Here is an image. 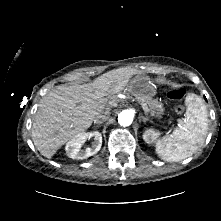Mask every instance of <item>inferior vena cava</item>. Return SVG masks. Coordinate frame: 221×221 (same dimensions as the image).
Here are the masks:
<instances>
[{"label":"inferior vena cava","mask_w":221,"mask_h":221,"mask_svg":"<svg viewBox=\"0 0 221 221\" xmlns=\"http://www.w3.org/2000/svg\"><path fill=\"white\" fill-rule=\"evenodd\" d=\"M109 111L98 113L94 118V123L102 124L108 119Z\"/></svg>","instance_id":"obj_1"}]
</instances>
